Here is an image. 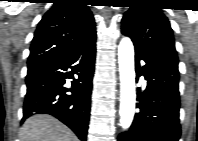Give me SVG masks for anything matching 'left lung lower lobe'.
<instances>
[{
    "instance_id": "0a47b994",
    "label": "left lung lower lobe",
    "mask_w": 198,
    "mask_h": 141,
    "mask_svg": "<svg viewBox=\"0 0 198 141\" xmlns=\"http://www.w3.org/2000/svg\"><path fill=\"white\" fill-rule=\"evenodd\" d=\"M140 60L147 87L137 90V108L134 121L119 141H179V71L178 62L170 56L149 55L135 49L136 71Z\"/></svg>"
}]
</instances>
